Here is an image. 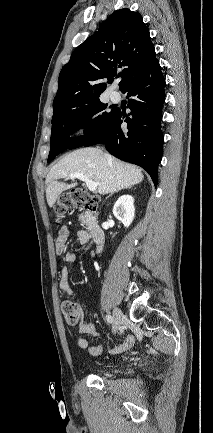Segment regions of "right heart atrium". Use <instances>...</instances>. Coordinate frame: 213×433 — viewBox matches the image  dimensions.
Returning a JSON list of instances; mask_svg holds the SVG:
<instances>
[{"label": "right heart atrium", "mask_w": 213, "mask_h": 433, "mask_svg": "<svg viewBox=\"0 0 213 433\" xmlns=\"http://www.w3.org/2000/svg\"><path fill=\"white\" fill-rule=\"evenodd\" d=\"M86 129V125L84 124V125H81L80 126V128H79V132H84V130Z\"/></svg>", "instance_id": "obj_1"}]
</instances>
